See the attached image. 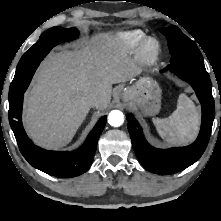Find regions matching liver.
<instances>
[{
	"label": "liver",
	"mask_w": 221,
	"mask_h": 221,
	"mask_svg": "<svg viewBox=\"0 0 221 221\" xmlns=\"http://www.w3.org/2000/svg\"><path fill=\"white\" fill-rule=\"evenodd\" d=\"M137 68L109 33L81 48L50 53L24 97V126L33 142L46 149L68 144L85 120L88 97L99 96V110L111 101L112 84L131 80Z\"/></svg>",
	"instance_id": "liver-1"
}]
</instances>
